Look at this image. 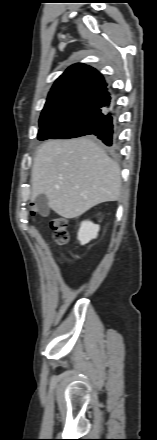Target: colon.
Returning a JSON list of instances; mask_svg holds the SVG:
<instances>
[{
	"mask_svg": "<svg viewBox=\"0 0 157 440\" xmlns=\"http://www.w3.org/2000/svg\"><path fill=\"white\" fill-rule=\"evenodd\" d=\"M33 212H35V210ZM50 225L55 242L59 245L66 244L69 240L66 220L61 217H56L51 220Z\"/></svg>",
	"mask_w": 157,
	"mask_h": 440,
	"instance_id": "colon-1",
	"label": "colon"
}]
</instances>
